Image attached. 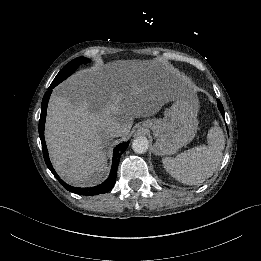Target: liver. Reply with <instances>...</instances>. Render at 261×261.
<instances>
[{
  "label": "liver",
  "mask_w": 261,
  "mask_h": 261,
  "mask_svg": "<svg viewBox=\"0 0 261 261\" xmlns=\"http://www.w3.org/2000/svg\"><path fill=\"white\" fill-rule=\"evenodd\" d=\"M186 86V76L145 64L77 71L53 90L47 108L45 140L56 172L73 186L97 185L109 171L108 128L120 124L126 138L134 118L156 114Z\"/></svg>",
  "instance_id": "6515ba94"
}]
</instances>
